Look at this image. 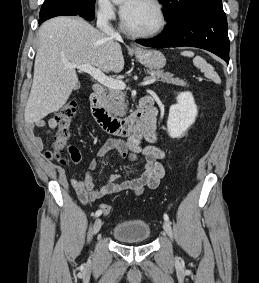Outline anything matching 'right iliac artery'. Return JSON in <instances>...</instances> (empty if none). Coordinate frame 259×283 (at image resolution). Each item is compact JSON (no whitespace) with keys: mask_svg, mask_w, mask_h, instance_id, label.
<instances>
[{"mask_svg":"<svg viewBox=\"0 0 259 283\" xmlns=\"http://www.w3.org/2000/svg\"><path fill=\"white\" fill-rule=\"evenodd\" d=\"M102 214V211L101 210H97L96 212H95V217H98V216H100Z\"/></svg>","mask_w":259,"mask_h":283,"instance_id":"1","label":"right iliac artery"}]
</instances>
